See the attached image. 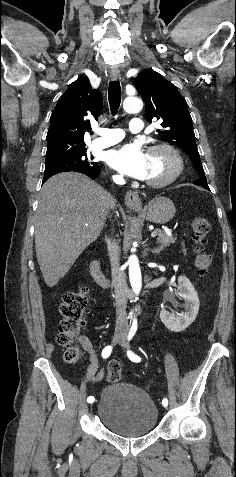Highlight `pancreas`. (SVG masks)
<instances>
[{"mask_svg": "<svg viewBox=\"0 0 236 477\" xmlns=\"http://www.w3.org/2000/svg\"><path fill=\"white\" fill-rule=\"evenodd\" d=\"M157 232V235H158V243L161 244V247L164 248V247H167L169 246L170 244H173L176 242L177 240V237L176 236H169L167 233H165L164 231H161V230H156Z\"/></svg>", "mask_w": 236, "mask_h": 477, "instance_id": "obj_1", "label": "pancreas"}]
</instances>
